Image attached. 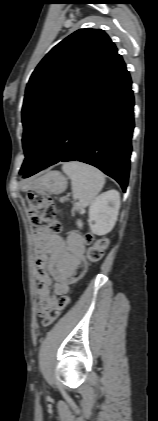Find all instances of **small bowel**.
Wrapping results in <instances>:
<instances>
[{"label":"small bowel","mask_w":158,"mask_h":421,"mask_svg":"<svg viewBox=\"0 0 158 421\" xmlns=\"http://www.w3.org/2000/svg\"><path fill=\"white\" fill-rule=\"evenodd\" d=\"M84 238L71 229L66 238L43 228L36 237V279L39 307L43 312L66 295L69 285L86 269Z\"/></svg>","instance_id":"small-bowel-1"}]
</instances>
